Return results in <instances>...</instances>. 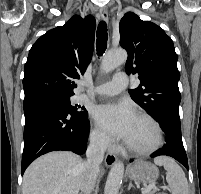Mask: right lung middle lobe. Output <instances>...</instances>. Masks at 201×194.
Returning <instances> with one entry per match:
<instances>
[{
	"mask_svg": "<svg viewBox=\"0 0 201 194\" xmlns=\"http://www.w3.org/2000/svg\"><path fill=\"white\" fill-rule=\"evenodd\" d=\"M47 97L60 102L63 106H65L73 115H76L80 118H87L88 113L84 107L80 106H72L70 104L71 96H63V95H46Z\"/></svg>",
	"mask_w": 201,
	"mask_h": 194,
	"instance_id": "dd1d6c3e",
	"label": "right lung middle lobe"
}]
</instances>
